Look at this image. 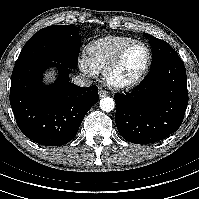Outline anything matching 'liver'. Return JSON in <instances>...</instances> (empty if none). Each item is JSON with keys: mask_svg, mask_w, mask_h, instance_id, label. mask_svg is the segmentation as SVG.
I'll list each match as a JSON object with an SVG mask.
<instances>
[{"mask_svg": "<svg viewBox=\"0 0 199 199\" xmlns=\"http://www.w3.org/2000/svg\"><path fill=\"white\" fill-rule=\"evenodd\" d=\"M46 78H47V79H50V80H53V79H54L53 77H51L50 74H48V75L46 76Z\"/></svg>", "mask_w": 199, "mask_h": 199, "instance_id": "obj_1", "label": "liver"}]
</instances>
